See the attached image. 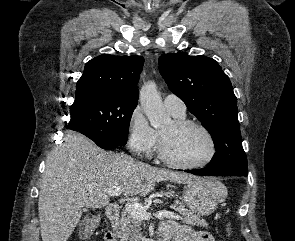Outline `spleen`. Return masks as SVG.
I'll list each match as a JSON object with an SVG mask.
<instances>
[{
    "label": "spleen",
    "mask_w": 295,
    "mask_h": 241,
    "mask_svg": "<svg viewBox=\"0 0 295 241\" xmlns=\"http://www.w3.org/2000/svg\"><path fill=\"white\" fill-rule=\"evenodd\" d=\"M228 226H230V224ZM227 232H228V234H230V228L229 227L227 228Z\"/></svg>",
    "instance_id": "3e777b00"
}]
</instances>
